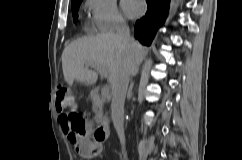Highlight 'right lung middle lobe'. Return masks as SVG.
Returning a JSON list of instances; mask_svg holds the SVG:
<instances>
[{"label":"right lung middle lobe","instance_id":"right-lung-middle-lobe-1","mask_svg":"<svg viewBox=\"0 0 242 160\" xmlns=\"http://www.w3.org/2000/svg\"><path fill=\"white\" fill-rule=\"evenodd\" d=\"M82 0H74L72 1V12H73V17L76 18L78 15H77V11H78V8L81 4Z\"/></svg>","mask_w":242,"mask_h":160}]
</instances>
